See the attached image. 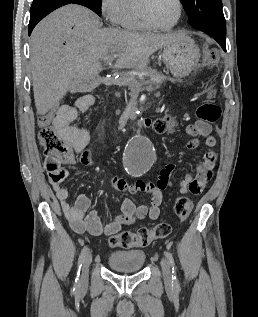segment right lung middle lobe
<instances>
[{"label":"right lung middle lobe","instance_id":"right-lung-middle-lobe-1","mask_svg":"<svg viewBox=\"0 0 258 317\" xmlns=\"http://www.w3.org/2000/svg\"><path fill=\"white\" fill-rule=\"evenodd\" d=\"M94 7L96 8L97 12L99 13V16H101V1L102 0H90Z\"/></svg>","mask_w":258,"mask_h":317}]
</instances>
